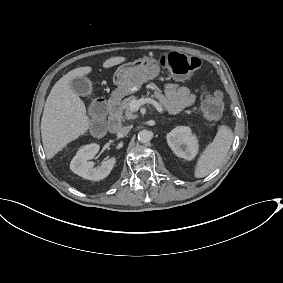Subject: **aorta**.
<instances>
[{"mask_svg": "<svg viewBox=\"0 0 283 283\" xmlns=\"http://www.w3.org/2000/svg\"><path fill=\"white\" fill-rule=\"evenodd\" d=\"M152 139V133L148 130H141L138 133V140L141 143H147Z\"/></svg>", "mask_w": 283, "mask_h": 283, "instance_id": "aorta-1", "label": "aorta"}]
</instances>
